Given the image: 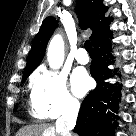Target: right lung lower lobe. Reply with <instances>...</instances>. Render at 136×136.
<instances>
[{
  "label": "right lung lower lobe",
  "instance_id": "98d812e1",
  "mask_svg": "<svg viewBox=\"0 0 136 136\" xmlns=\"http://www.w3.org/2000/svg\"><path fill=\"white\" fill-rule=\"evenodd\" d=\"M109 38L94 45L95 59L91 63L90 71L97 82V87L89 92L82 102L74 128V132L80 136H112L114 134L111 119L112 117L114 119L115 115L109 111L106 113V110L111 109L116 112L118 109L120 87H114L105 82V79L111 77V70L108 68L112 59Z\"/></svg>",
  "mask_w": 136,
  "mask_h": 136
}]
</instances>
